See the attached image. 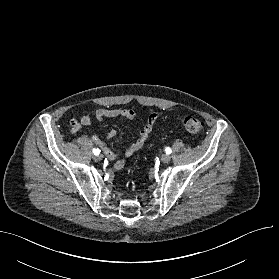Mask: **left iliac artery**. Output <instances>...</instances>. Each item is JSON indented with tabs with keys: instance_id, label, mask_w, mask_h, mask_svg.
I'll use <instances>...</instances> for the list:
<instances>
[{
	"instance_id": "left-iliac-artery-1",
	"label": "left iliac artery",
	"mask_w": 279,
	"mask_h": 279,
	"mask_svg": "<svg viewBox=\"0 0 279 279\" xmlns=\"http://www.w3.org/2000/svg\"><path fill=\"white\" fill-rule=\"evenodd\" d=\"M165 152H166V154H170L172 151H171V148H169V147H167L166 149H165Z\"/></svg>"
}]
</instances>
